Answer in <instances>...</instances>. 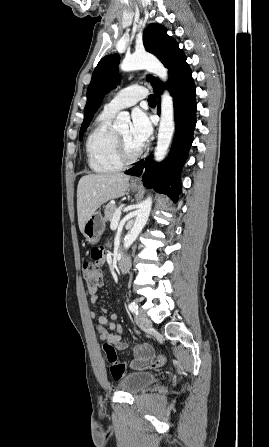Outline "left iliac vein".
<instances>
[{
  "label": "left iliac vein",
  "mask_w": 269,
  "mask_h": 447,
  "mask_svg": "<svg viewBox=\"0 0 269 447\" xmlns=\"http://www.w3.org/2000/svg\"><path fill=\"white\" fill-rule=\"evenodd\" d=\"M136 323L138 326H140L144 329L152 326L150 319L146 315H137Z\"/></svg>",
  "instance_id": "obj_1"
}]
</instances>
